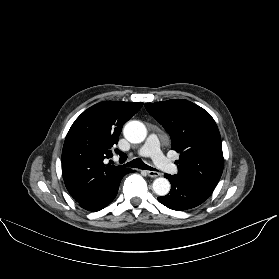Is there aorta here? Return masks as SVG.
I'll list each match as a JSON object with an SVG mask.
<instances>
[{"mask_svg":"<svg viewBox=\"0 0 279 279\" xmlns=\"http://www.w3.org/2000/svg\"><path fill=\"white\" fill-rule=\"evenodd\" d=\"M125 138L131 143H141L145 140L147 129L140 121L128 122L123 130ZM171 188L168 179L160 177L153 182V191L159 196H165L169 193Z\"/></svg>","mask_w":279,"mask_h":279,"instance_id":"762f6f07","label":"aorta"}]
</instances>
